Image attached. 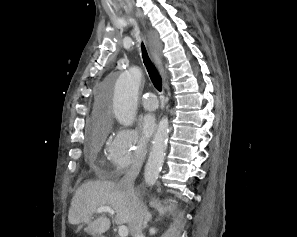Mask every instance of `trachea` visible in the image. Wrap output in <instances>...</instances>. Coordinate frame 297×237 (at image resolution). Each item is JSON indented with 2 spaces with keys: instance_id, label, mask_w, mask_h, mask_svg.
I'll return each instance as SVG.
<instances>
[{
  "instance_id": "trachea-1",
  "label": "trachea",
  "mask_w": 297,
  "mask_h": 237,
  "mask_svg": "<svg viewBox=\"0 0 297 237\" xmlns=\"http://www.w3.org/2000/svg\"><path fill=\"white\" fill-rule=\"evenodd\" d=\"M141 50H142V58H143L144 65L146 66L147 72L149 74V77H150L154 87L158 91H162V79H161V76H160L157 68L155 67V65L151 61L143 42L141 43Z\"/></svg>"
}]
</instances>
